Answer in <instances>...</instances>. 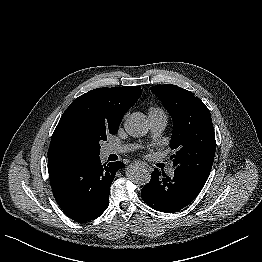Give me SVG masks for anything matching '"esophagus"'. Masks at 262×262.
Wrapping results in <instances>:
<instances>
[{"instance_id": "esophagus-1", "label": "esophagus", "mask_w": 262, "mask_h": 262, "mask_svg": "<svg viewBox=\"0 0 262 262\" xmlns=\"http://www.w3.org/2000/svg\"><path fill=\"white\" fill-rule=\"evenodd\" d=\"M138 163L141 164L146 170H151V167L148 164L141 161H139Z\"/></svg>"}]
</instances>
